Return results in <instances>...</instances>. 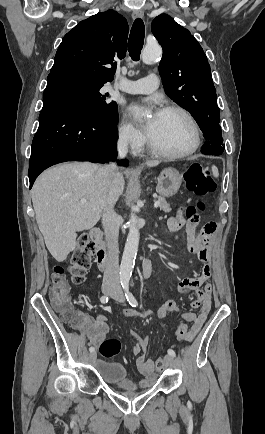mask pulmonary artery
I'll return each mask as SVG.
<instances>
[{
    "label": "pulmonary artery",
    "mask_w": 265,
    "mask_h": 434,
    "mask_svg": "<svg viewBox=\"0 0 265 434\" xmlns=\"http://www.w3.org/2000/svg\"><path fill=\"white\" fill-rule=\"evenodd\" d=\"M159 77L156 74H149L139 81H120L117 88L130 94H147L158 89Z\"/></svg>",
    "instance_id": "1"
}]
</instances>
